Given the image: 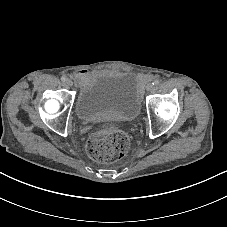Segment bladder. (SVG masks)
Returning <instances> with one entry per match:
<instances>
[{
  "label": "bladder",
  "instance_id": "obj_1",
  "mask_svg": "<svg viewBox=\"0 0 227 227\" xmlns=\"http://www.w3.org/2000/svg\"><path fill=\"white\" fill-rule=\"evenodd\" d=\"M142 107V93L132 73L117 76L97 74L74 103L75 115L83 121L99 117L137 120Z\"/></svg>",
  "mask_w": 227,
  "mask_h": 227
}]
</instances>
